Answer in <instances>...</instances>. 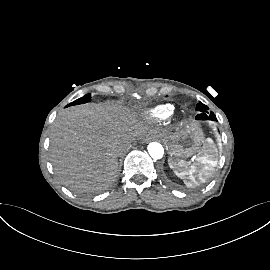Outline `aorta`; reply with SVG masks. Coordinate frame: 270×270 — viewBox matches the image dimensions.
<instances>
[{
    "label": "aorta",
    "mask_w": 270,
    "mask_h": 270,
    "mask_svg": "<svg viewBox=\"0 0 270 270\" xmlns=\"http://www.w3.org/2000/svg\"><path fill=\"white\" fill-rule=\"evenodd\" d=\"M147 149H148V152H149L150 156L154 160L161 159L163 157V155H164L163 146L158 142L149 143Z\"/></svg>",
    "instance_id": "obj_1"
}]
</instances>
